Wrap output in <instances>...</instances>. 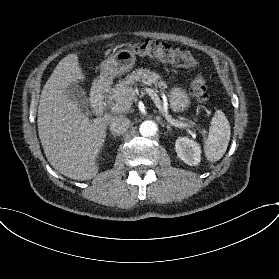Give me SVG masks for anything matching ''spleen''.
I'll list each match as a JSON object with an SVG mask.
<instances>
[{"instance_id": "spleen-1", "label": "spleen", "mask_w": 279, "mask_h": 279, "mask_svg": "<svg viewBox=\"0 0 279 279\" xmlns=\"http://www.w3.org/2000/svg\"><path fill=\"white\" fill-rule=\"evenodd\" d=\"M231 135V128L228 119L221 110H217L211 120L209 135L204 144V151L207 160L215 162L225 154Z\"/></svg>"}]
</instances>
